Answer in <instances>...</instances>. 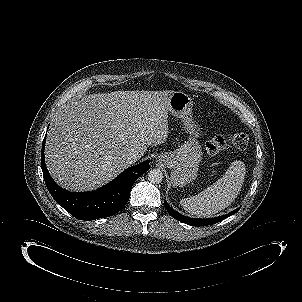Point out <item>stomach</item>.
Masks as SVG:
<instances>
[{"label":"stomach","instance_id":"1","mask_svg":"<svg viewBox=\"0 0 302 302\" xmlns=\"http://www.w3.org/2000/svg\"><path fill=\"white\" fill-rule=\"evenodd\" d=\"M192 107L193 99L189 94L176 91L170 96L168 111L182 120L190 137L175 151L158 156V162L171 170L172 184L178 187H183L196 179L203 158L202 147L197 140L200 128L192 118Z\"/></svg>","mask_w":302,"mask_h":302}]
</instances>
